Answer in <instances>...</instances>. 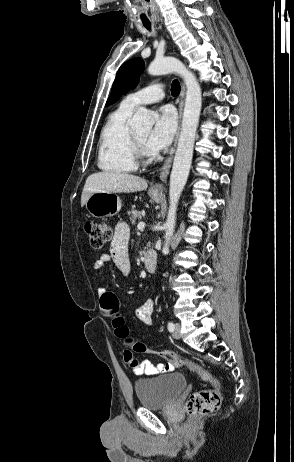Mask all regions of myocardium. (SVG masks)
I'll use <instances>...</instances> for the list:
<instances>
[{
  "instance_id": "obj_1",
  "label": "myocardium",
  "mask_w": 294,
  "mask_h": 462,
  "mask_svg": "<svg viewBox=\"0 0 294 462\" xmlns=\"http://www.w3.org/2000/svg\"><path fill=\"white\" fill-rule=\"evenodd\" d=\"M132 137L137 163L147 164L152 159V154L148 151L145 143L141 141L134 132Z\"/></svg>"
}]
</instances>
